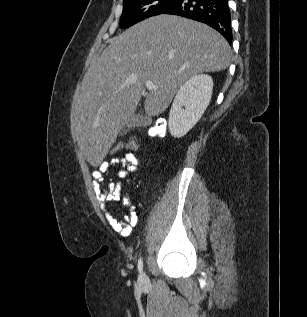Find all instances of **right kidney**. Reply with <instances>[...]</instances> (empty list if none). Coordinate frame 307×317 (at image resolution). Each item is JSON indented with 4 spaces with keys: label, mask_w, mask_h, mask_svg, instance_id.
Returning a JSON list of instances; mask_svg holds the SVG:
<instances>
[{
    "label": "right kidney",
    "mask_w": 307,
    "mask_h": 317,
    "mask_svg": "<svg viewBox=\"0 0 307 317\" xmlns=\"http://www.w3.org/2000/svg\"><path fill=\"white\" fill-rule=\"evenodd\" d=\"M212 90V77L205 74L190 77L180 87L169 112L171 136L181 138L194 127L209 105Z\"/></svg>",
    "instance_id": "ca27d5eb"
}]
</instances>
